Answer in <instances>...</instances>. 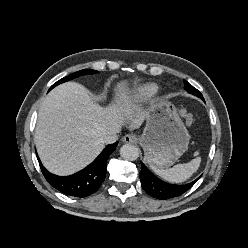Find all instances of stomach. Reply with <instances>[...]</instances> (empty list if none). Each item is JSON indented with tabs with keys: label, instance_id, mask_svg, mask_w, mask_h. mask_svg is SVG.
Returning <instances> with one entry per match:
<instances>
[{
	"label": "stomach",
	"instance_id": "1",
	"mask_svg": "<svg viewBox=\"0 0 248 248\" xmlns=\"http://www.w3.org/2000/svg\"><path fill=\"white\" fill-rule=\"evenodd\" d=\"M145 115L139 138L145 159L151 166L168 168L188 149L189 133L176 107L166 99L153 100Z\"/></svg>",
	"mask_w": 248,
	"mask_h": 248
}]
</instances>
